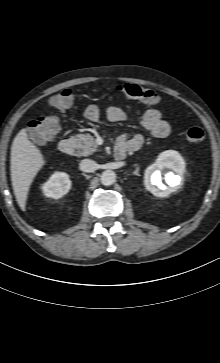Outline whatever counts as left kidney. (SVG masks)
Masks as SVG:
<instances>
[{
  "label": "left kidney",
  "mask_w": 220,
  "mask_h": 363,
  "mask_svg": "<svg viewBox=\"0 0 220 363\" xmlns=\"http://www.w3.org/2000/svg\"><path fill=\"white\" fill-rule=\"evenodd\" d=\"M161 172L165 173V181L168 186L162 183ZM184 172L185 162L180 154L176 151H164L158 156L155 163L146 168L145 187L157 197H167L178 189Z\"/></svg>",
  "instance_id": "obj_1"
}]
</instances>
